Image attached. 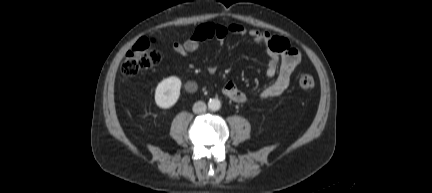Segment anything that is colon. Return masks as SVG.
<instances>
[{
    "label": "colon",
    "instance_id": "obj_1",
    "mask_svg": "<svg viewBox=\"0 0 432 193\" xmlns=\"http://www.w3.org/2000/svg\"><path fill=\"white\" fill-rule=\"evenodd\" d=\"M218 34L222 35V30L216 33ZM161 59V53L152 46V42L147 38H141L127 52L121 65V72L126 76H133L142 70L153 68L159 64ZM298 83L304 90H311L315 87V79L309 73L300 74Z\"/></svg>",
    "mask_w": 432,
    "mask_h": 193
}]
</instances>
